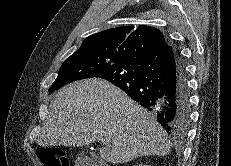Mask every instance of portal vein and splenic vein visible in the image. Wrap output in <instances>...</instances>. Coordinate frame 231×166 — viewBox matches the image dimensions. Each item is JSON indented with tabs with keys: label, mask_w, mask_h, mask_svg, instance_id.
<instances>
[{
	"label": "portal vein and splenic vein",
	"mask_w": 231,
	"mask_h": 166,
	"mask_svg": "<svg viewBox=\"0 0 231 166\" xmlns=\"http://www.w3.org/2000/svg\"><path fill=\"white\" fill-rule=\"evenodd\" d=\"M101 141L103 142V143H107L108 142V140H105V139H101Z\"/></svg>",
	"instance_id": "1"
}]
</instances>
